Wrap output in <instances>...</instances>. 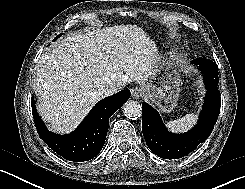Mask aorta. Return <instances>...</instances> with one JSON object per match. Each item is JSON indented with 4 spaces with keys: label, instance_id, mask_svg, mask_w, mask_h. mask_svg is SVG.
<instances>
[{
    "label": "aorta",
    "instance_id": "aorta-1",
    "mask_svg": "<svg viewBox=\"0 0 245 189\" xmlns=\"http://www.w3.org/2000/svg\"><path fill=\"white\" fill-rule=\"evenodd\" d=\"M142 114L140 104L136 101H129L124 106V115L129 119H138Z\"/></svg>",
    "mask_w": 245,
    "mask_h": 189
}]
</instances>
